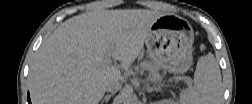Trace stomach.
<instances>
[{
  "label": "stomach",
  "instance_id": "obj_1",
  "mask_svg": "<svg viewBox=\"0 0 252 104\" xmlns=\"http://www.w3.org/2000/svg\"><path fill=\"white\" fill-rule=\"evenodd\" d=\"M194 32L183 18L159 17L145 41L151 62L170 73H184L192 64Z\"/></svg>",
  "mask_w": 252,
  "mask_h": 104
}]
</instances>
